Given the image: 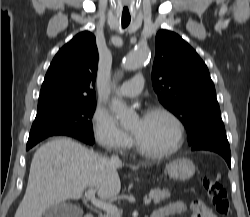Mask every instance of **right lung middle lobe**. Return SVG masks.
Masks as SVG:
<instances>
[{"mask_svg":"<svg viewBox=\"0 0 250 217\" xmlns=\"http://www.w3.org/2000/svg\"><path fill=\"white\" fill-rule=\"evenodd\" d=\"M95 101L78 102L49 110L37 111L26 150L53 135H66L87 144L94 143L91 118Z\"/></svg>","mask_w":250,"mask_h":217,"instance_id":"obj_1","label":"right lung middle lobe"}]
</instances>
